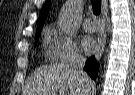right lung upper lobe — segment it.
<instances>
[{
	"instance_id": "obj_1",
	"label": "right lung upper lobe",
	"mask_w": 135,
	"mask_h": 95,
	"mask_svg": "<svg viewBox=\"0 0 135 95\" xmlns=\"http://www.w3.org/2000/svg\"><path fill=\"white\" fill-rule=\"evenodd\" d=\"M50 5H51V2L48 0L42 10H41V13H40V16H39V19H38V23H37V30H36V33L37 32H41V29L43 27V24H44V21L46 19V16L49 12V9H50Z\"/></svg>"
}]
</instances>
